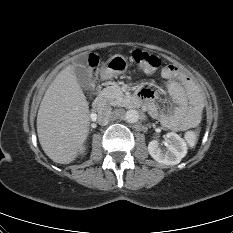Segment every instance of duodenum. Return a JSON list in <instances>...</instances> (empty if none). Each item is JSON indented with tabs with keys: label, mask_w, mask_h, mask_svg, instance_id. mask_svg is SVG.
Listing matches in <instances>:
<instances>
[{
	"label": "duodenum",
	"mask_w": 233,
	"mask_h": 233,
	"mask_svg": "<svg viewBox=\"0 0 233 233\" xmlns=\"http://www.w3.org/2000/svg\"><path fill=\"white\" fill-rule=\"evenodd\" d=\"M142 97H133L130 101L131 106H136L141 102ZM106 105V98L104 95H99L93 102V107L97 110L102 109Z\"/></svg>",
	"instance_id": "1"
}]
</instances>
